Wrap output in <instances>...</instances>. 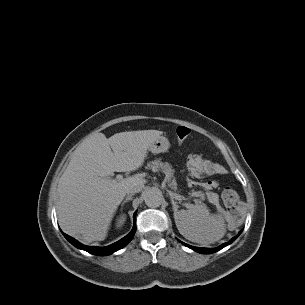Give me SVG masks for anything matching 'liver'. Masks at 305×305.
<instances>
[{
  "mask_svg": "<svg viewBox=\"0 0 305 305\" xmlns=\"http://www.w3.org/2000/svg\"><path fill=\"white\" fill-rule=\"evenodd\" d=\"M162 131L142 130L89 135L74 151L58 184L57 215L62 230L83 243L104 240L117 207L130 186L144 184L139 176L108 179L113 172L140 168L149 146Z\"/></svg>",
  "mask_w": 305,
  "mask_h": 305,
  "instance_id": "6515ba94",
  "label": "liver"
}]
</instances>
